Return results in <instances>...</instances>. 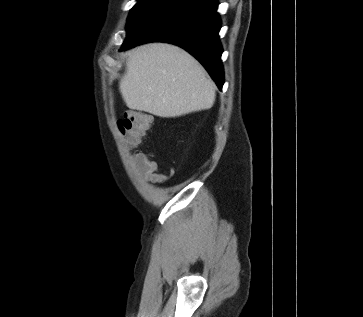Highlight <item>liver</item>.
Instances as JSON below:
<instances>
[{
    "mask_svg": "<svg viewBox=\"0 0 363 317\" xmlns=\"http://www.w3.org/2000/svg\"><path fill=\"white\" fill-rule=\"evenodd\" d=\"M119 89L128 108L166 118L209 109L216 96L198 61L165 43L133 49Z\"/></svg>",
    "mask_w": 363,
    "mask_h": 317,
    "instance_id": "liver-1",
    "label": "liver"
}]
</instances>
